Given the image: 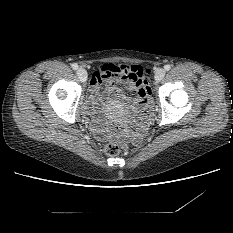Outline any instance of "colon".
I'll use <instances>...</instances> for the list:
<instances>
[{
	"label": "colon",
	"instance_id": "5ec220e1",
	"mask_svg": "<svg viewBox=\"0 0 233 233\" xmlns=\"http://www.w3.org/2000/svg\"><path fill=\"white\" fill-rule=\"evenodd\" d=\"M131 82L134 86H136L138 88V97L145 98L146 100H148V97L145 95L144 89L139 86V82H138L137 78L133 77L131 79ZM148 90L150 92V88H148ZM103 151L105 154H107L109 156H115V155L119 154L120 147L116 144L108 143V144L104 145Z\"/></svg>",
	"mask_w": 233,
	"mask_h": 233
}]
</instances>
